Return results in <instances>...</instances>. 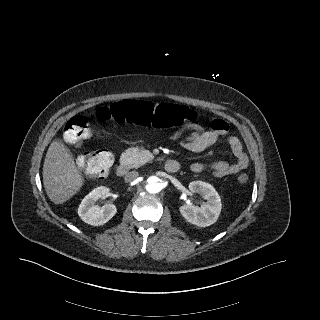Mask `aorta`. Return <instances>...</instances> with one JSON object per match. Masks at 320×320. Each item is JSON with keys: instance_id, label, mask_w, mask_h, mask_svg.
Masks as SVG:
<instances>
[{"instance_id": "762f6f07", "label": "aorta", "mask_w": 320, "mask_h": 320, "mask_svg": "<svg viewBox=\"0 0 320 320\" xmlns=\"http://www.w3.org/2000/svg\"><path fill=\"white\" fill-rule=\"evenodd\" d=\"M162 189L160 180L156 176H150L146 181V190L151 193L155 194L160 192Z\"/></svg>"}]
</instances>
